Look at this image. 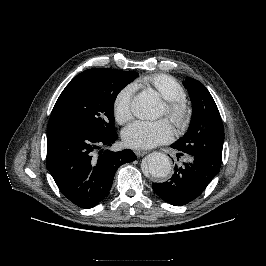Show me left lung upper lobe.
I'll return each mask as SVG.
<instances>
[{
	"label": "left lung upper lobe",
	"instance_id": "5c2ea615",
	"mask_svg": "<svg viewBox=\"0 0 266 266\" xmlns=\"http://www.w3.org/2000/svg\"><path fill=\"white\" fill-rule=\"evenodd\" d=\"M183 84L190 95L193 113L188 132L173 146L221 166L224 128L216 103L201 82L187 78Z\"/></svg>",
	"mask_w": 266,
	"mask_h": 266
}]
</instances>
